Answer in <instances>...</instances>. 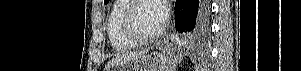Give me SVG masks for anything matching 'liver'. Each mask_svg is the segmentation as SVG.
<instances>
[{"label":"liver","instance_id":"6515ba94","mask_svg":"<svg viewBox=\"0 0 301 71\" xmlns=\"http://www.w3.org/2000/svg\"><path fill=\"white\" fill-rule=\"evenodd\" d=\"M145 54H146V51L142 50L139 52H130V53L117 55L115 58H113L106 64L105 70L107 71L110 68H112L116 65L122 64L124 62L137 60V59L143 57Z\"/></svg>","mask_w":301,"mask_h":71}]
</instances>
